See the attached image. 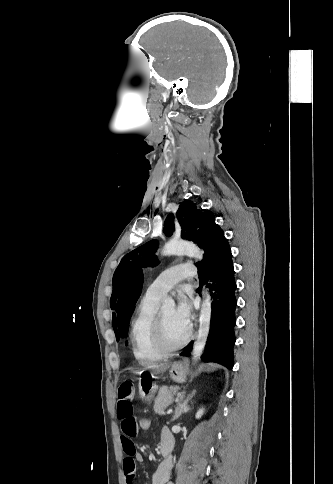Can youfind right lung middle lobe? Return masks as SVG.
Segmentation results:
<instances>
[{"instance_id": "1", "label": "right lung middle lobe", "mask_w": 333, "mask_h": 484, "mask_svg": "<svg viewBox=\"0 0 333 484\" xmlns=\"http://www.w3.org/2000/svg\"><path fill=\"white\" fill-rule=\"evenodd\" d=\"M128 323H129V322H128ZM128 323L125 325V328H124L123 332L121 333V337H122V338H125V337L127 336V332H128V326H129V324H128Z\"/></svg>"}]
</instances>
